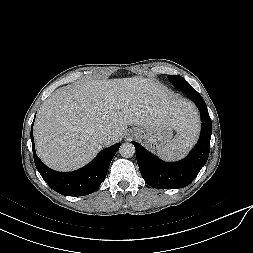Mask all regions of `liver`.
<instances>
[{"label":"liver","instance_id":"1","mask_svg":"<svg viewBox=\"0 0 253 253\" xmlns=\"http://www.w3.org/2000/svg\"><path fill=\"white\" fill-rule=\"evenodd\" d=\"M193 112L183 100L146 78L88 80L57 89L38 110L34 138L37 155L52 169L71 171L116 143L128 125L167 124L178 130ZM102 131L111 134L103 144Z\"/></svg>","mask_w":253,"mask_h":253}]
</instances>
